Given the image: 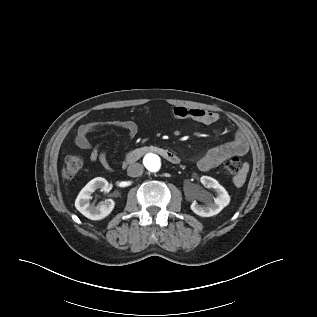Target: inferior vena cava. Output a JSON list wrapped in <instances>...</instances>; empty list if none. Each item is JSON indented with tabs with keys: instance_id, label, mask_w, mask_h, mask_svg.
<instances>
[{
	"instance_id": "602c4592",
	"label": "inferior vena cava",
	"mask_w": 317,
	"mask_h": 317,
	"mask_svg": "<svg viewBox=\"0 0 317 317\" xmlns=\"http://www.w3.org/2000/svg\"><path fill=\"white\" fill-rule=\"evenodd\" d=\"M143 165L140 163H133L128 166L127 168V174L130 177H138L143 174Z\"/></svg>"
}]
</instances>
